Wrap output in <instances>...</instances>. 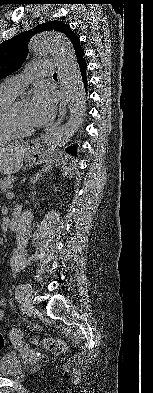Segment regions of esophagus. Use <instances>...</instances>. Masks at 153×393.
<instances>
[{
    "label": "esophagus",
    "mask_w": 153,
    "mask_h": 393,
    "mask_svg": "<svg viewBox=\"0 0 153 393\" xmlns=\"http://www.w3.org/2000/svg\"><path fill=\"white\" fill-rule=\"evenodd\" d=\"M66 111H67L66 102H65V100H63L60 103L58 118L55 121V123L52 125V128L58 126L59 124H61L63 122V120L66 116Z\"/></svg>",
    "instance_id": "34e87169"
}]
</instances>
